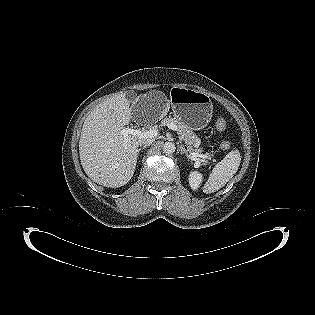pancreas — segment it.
I'll list each match as a JSON object with an SVG mask.
<instances>
[{"instance_id":"obj_1","label":"pancreas","mask_w":315,"mask_h":315,"mask_svg":"<svg viewBox=\"0 0 315 315\" xmlns=\"http://www.w3.org/2000/svg\"><path fill=\"white\" fill-rule=\"evenodd\" d=\"M173 123L178 128V134L181 140H183L187 146L189 152L200 153L202 150L198 149L200 139L184 122L179 118H165L162 120V125Z\"/></svg>"}]
</instances>
